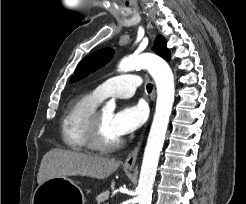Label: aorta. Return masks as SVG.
<instances>
[{
    "label": "aorta",
    "mask_w": 246,
    "mask_h": 204,
    "mask_svg": "<svg viewBox=\"0 0 246 204\" xmlns=\"http://www.w3.org/2000/svg\"><path fill=\"white\" fill-rule=\"evenodd\" d=\"M136 68L147 69L157 87L156 109L144 151L137 187L138 203L151 204L160 152L164 144L174 102V76L168 63L151 53L125 57L118 65V71L121 72L132 71ZM115 108V102L109 101L103 107L102 112L104 115H111Z\"/></svg>",
    "instance_id": "762f6f07"
}]
</instances>
